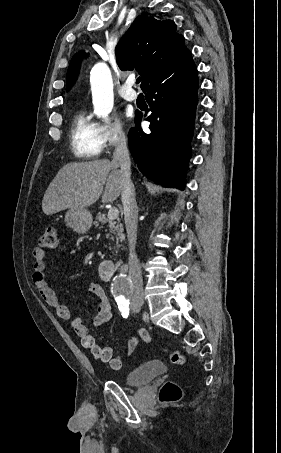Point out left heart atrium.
Instances as JSON below:
<instances>
[{
	"mask_svg": "<svg viewBox=\"0 0 281 453\" xmlns=\"http://www.w3.org/2000/svg\"><path fill=\"white\" fill-rule=\"evenodd\" d=\"M124 116L127 119H131L132 118V111L130 109H126L125 112H124Z\"/></svg>",
	"mask_w": 281,
	"mask_h": 453,
	"instance_id": "39dd6f15",
	"label": "left heart atrium"
}]
</instances>
